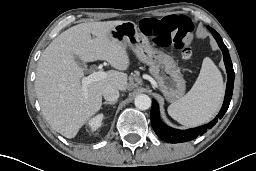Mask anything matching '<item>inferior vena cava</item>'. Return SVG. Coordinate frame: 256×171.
Returning <instances> with one entry per match:
<instances>
[{
    "mask_svg": "<svg viewBox=\"0 0 256 171\" xmlns=\"http://www.w3.org/2000/svg\"><path fill=\"white\" fill-rule=\"evenodd\" d=\"M103 97L110 102L116 101L119 97V90L116 87L109 86L104 89Z\"/></svg>",
    "mask_w": 256,
    "mask_h": 171,
    "instance_id": "1",
    "label": "inferior vena cava"
}]
</instances>
